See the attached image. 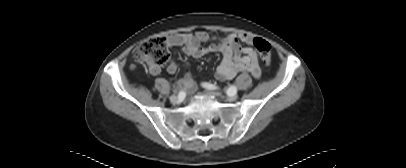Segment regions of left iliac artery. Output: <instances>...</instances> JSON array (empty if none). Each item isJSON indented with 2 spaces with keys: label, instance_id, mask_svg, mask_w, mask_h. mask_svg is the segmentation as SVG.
Masks as SVG:
<instances>
[{
  "label": "left iliac artery",
  "instance_id": "obj_1",
  "mask_svg": "<svg viewBox=\"0 0 406 168\" xmlns=\"http://www.w3.org/2000/svg\"><path fill=\"white\" fill-rule=\"evenodd\" d=\"M203 87L207 88V89H217V87L215 85H212L210 83H203ZM237 93V88L236 86L232 85L227 89V94L231 95V94H235Z\"/></svg>",
  "mask_w": 406,
  "mask_h": 168
}]
</instances>
